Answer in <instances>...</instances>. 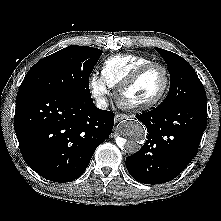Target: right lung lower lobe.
Masks as SVG:
<instances>
[{
  "label": "right lung lower lobe",
  "instance_id": "1",
  "mask_svg": "<svg viewBox=\"0 0 221 221\" xmlns=\"http://www.w3.org/2000/svg\"><path fill=\"white\" fill-rule=\"evenodd\" d=\"M114 125L111 111L91 97L19 90L14 128L26 163L55 182H70L86 170Z\"/></svg>",
  "mask_w": 221,
  "mask_h": 221
}]
</instances>
